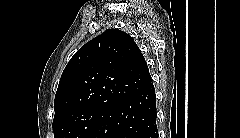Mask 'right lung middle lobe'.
<instances>
[{
  "label": "right lung middle lobe",
  "mask_w": 240,
  "mask_h": 138,
  "mask_svg": "<svg viewBox=\"0 0 240 138\" xmlns=\"http://www.w3.org/2000/svg\"><path fill=\"white\" fill-rule=\"evenodd\" d=\"M106 112L91 108L60 117L53 121L54 138H88Z\"/></svg>",
  "instance_id": "right-lung-middle-lobe-1"
}]
</instances>
